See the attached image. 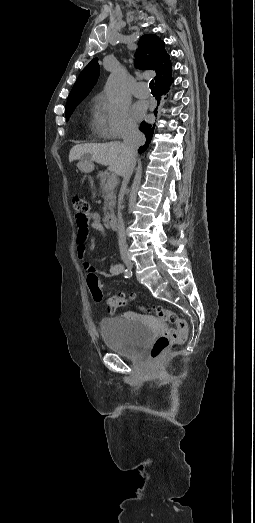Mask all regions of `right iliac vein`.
<instances>
[{
	"label": "right iliac vein",
	"mask_w": 255,
	"mask_h": 523,
	"mask_svg": "<svg viewBox=\"0 0 255 523\" xmlns=\"http://www.w3.org/2000/svg\"><path fill=\"white\" fill-rule=\"evenodd\" d=\"M124 262H125V264H126V266L128 268H132L133 267V263L130 260L126 259Z\"/></svg>",
	"instance_id": "obj_1"
}]
</instances>
